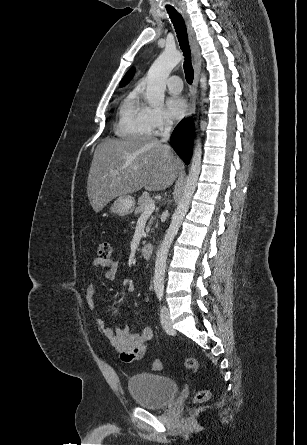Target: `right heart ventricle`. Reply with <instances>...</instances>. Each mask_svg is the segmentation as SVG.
I'll return each mask as SVG.
<instances>
[{"instance_id":"e07e8e85","label":"right heart ventricle","mask_w":307,"mask_h":445,"mask_svg":"<svg viewBox=\"0 0 307 445\" xmlns=\"http://www.w3.org/2000/svg\"><path fill=\"white\" fill-rule=\"evenodd\" d=\"M149 103L139 87L129 88L121 101L119 120L115 128L118 136L144 134L143 113Z\"/></svg>"}]
</instances>
